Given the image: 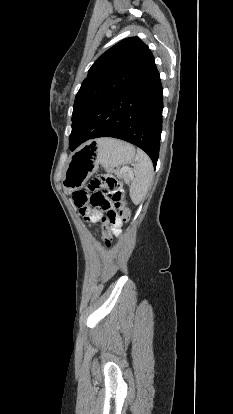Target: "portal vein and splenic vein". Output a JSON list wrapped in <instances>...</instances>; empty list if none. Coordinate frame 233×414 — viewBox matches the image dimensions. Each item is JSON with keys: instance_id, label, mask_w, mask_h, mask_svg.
Returning a JSON list of instances; mask_svg holds the SVG:
<instances>
[{"instance_id": "18ae733b", "label": "portal vein and splenic vein", "mask_w": 233, "mask_h": 414, "mask_svg": "<svg viewBox=\"0 0 233 414\" xmlns=\"http://www.w3.org/2000/svg\"><path fill=\"white\" fill-rule=\"evenodd\" d=\"M121 172H129V174L132 175V170L130 168H127V167H123L121 169Z\"/></svg>"}]
</instances>
